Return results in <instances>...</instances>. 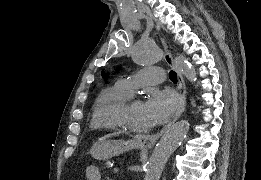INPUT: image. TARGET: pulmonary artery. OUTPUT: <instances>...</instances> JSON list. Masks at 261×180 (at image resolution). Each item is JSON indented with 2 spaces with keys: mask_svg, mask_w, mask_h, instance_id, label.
I'll use <instances>...</instances> for the list:
<instances>
[{
  "mask_svg": "<svg viewBox=\"0 0 261 180\" xmlns=\"http://www.w3.org/2000/svg\"><path fill=\"white\" fill-rule=\"evenodd\" d=\"M164 72L162 69H140L132 75L118 81L120 87L127 93H130L134 88L149 89V82H156L163 79ZM144 84V85H142Z\"/></svg>",
  "mask_w": 261,
  "mask_h": 180,
  "instance_id": "e3ab8cb5",
  "label": "pulmonary artery"
}]
</instances>
